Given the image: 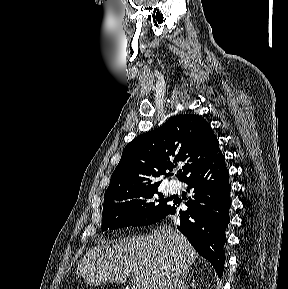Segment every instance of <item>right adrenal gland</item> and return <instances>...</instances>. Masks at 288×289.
Wrapping results in <instances>:
<instances>
[{"label": "right adrenal gland", "instance_id": "1", "mask_svg": "<svg viewBox=\"0 0 288 289\" xmlns=\"http://www.w3.org/2000/svg\"><path fill=\"white\" fill-rule=\"evenodd\" d=\"M189 271H185L181 274V278L179 280L178 289H187V284L185 283L186 277Z\"/></svg>", "mask_w": 288, "mask_h": 289}]
</instances>
